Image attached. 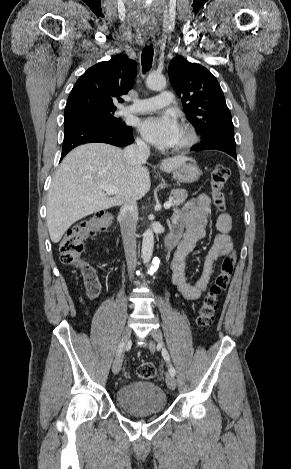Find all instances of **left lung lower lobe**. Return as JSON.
<instances>
[{"label":"left lung lower lobe","instance_id":"0a47b994","mask_svg":"<svg viewBox=\"0 0 291 469\" xmlns=\"http://www.w3.org/2000/svg\"><path fill=\"white\" fill-rule=\"evenodd\" d=\"M205 149H217L228 153L237 159L235 139L228 137H216L211 140L202 142L199 146L191 148L193 151H200Z\"/></svg>","mask_w":291,"mask_h":469}]
</instances>
